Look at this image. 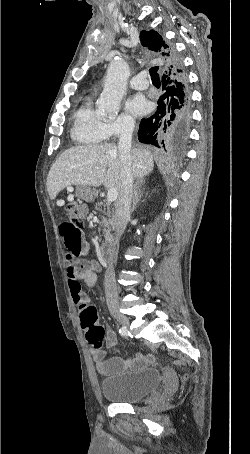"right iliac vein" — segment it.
<instances>
[{"instance_id":"obj_1","label":"right iliac vein","mask_w":250,"mask_h":454,"mask_svg":"<svg viewBox=\"0 0 250 454\" xmlns=\"http://www.w3.org/2000/svg\"><path fill=\"white\" fill-rule=\"evenodd\" d=\"M112 315L114 318L125 328L129 327V319L126 315L122 314L118 308H114L111 310Z\"/></svg>"}]
</instances>
